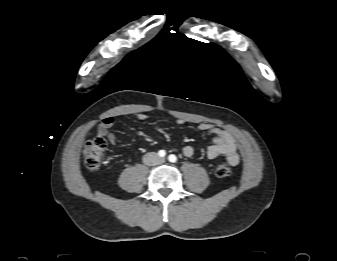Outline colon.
I'll return each mask as SVG.
<instances>
[{
	"label": "colon",
	"instance_id": "5ec220e1",
	"mask_svg": "<svg viewBox=\"0 0 337 261\" xmlns=\"http://www.w3.org/2000/svg\"><path fill=\"white\" fill-rule=\"evenodd\" d=\"M106 152V141L103 137L98 136L88 141L84 147V161L86 167L91 170H97ZM231 169L226 162H222L215 167V174L220 178H225L230 175Z\"/></svg>",
	"mask_w": 337,
	"mask_h": 261
}]
</instances>
